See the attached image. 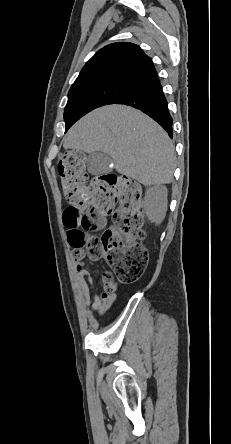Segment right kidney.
<instances>
[{"mask_svg":"<svg viewBox=\"0 0 231 444\" xmlns=\"http://www.w3.org/2000/svg\"><path fill=\"white\" fill-rule=\"evenodd\" d=\"M144 208L148 219L160 224L167 210V188L159 185L148 188L145 193Z\"/></svg>","mask_w":231,"mask_h":444,"instance_id":"right-kidney-1","label":"right kidney"}]
</instances>
